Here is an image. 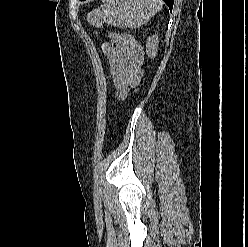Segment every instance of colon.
Returning a JSON list of instances; mask_svg holds the SVG:
<instances>
[{"label": "colon", "mask_w": 248, "mask_h": 247, "mask_svg": "<svg viewBox=\"0 0 248 247\" xmlns=\"http://www.w3.org/2000/svg\"><path fill=\"white\" fill-rule=\"evenodd\" d=\"M108 34L113 38V40H118L128 44L134 51L136 62L141 67L144 62V52L141 45L130 35L120 34L114 32H108Z\"/></svg>", "instance_id": "5ec220e1"}]
</instances>
